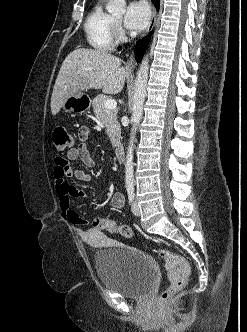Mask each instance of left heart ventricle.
Listing matches in <instances>:
<instances>
[{"label":"left heart ventricle","instance_id":"b2bd125f","mask_svg":"<svg viewBox=\"0 0 247 332\" xmlns=\"http://www.w3.org/2000/svg\"><path fill=\"white\" fill-rule=\"evenodd\" d=\"M121 17H116L115 20L119 21Z\"/></svg>","mask_w":247,"mask_h":332}]
</instances>
